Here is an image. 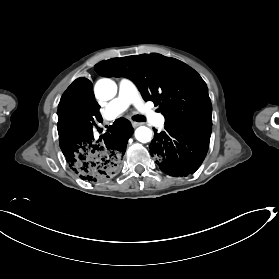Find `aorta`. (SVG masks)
Wrapping results in <instances>:
<instances>
[{
	"label": "aorta",
	"instance_id": "obj_1",
	"mask_svg": "<svg viewBox=\"0 0 279 279\" xmlns=\"http://www.w3.org/2000/svg\"><path fill=\"white\" fill-rule=\"evenodd\" d=\"M95 96L102 101L112 99L117 93V85L108 78L97 81L94 87ZM135 137L141 143H147L152 138V131L146 126H140L135 130Z\"/></svg>",
	"mask_w": 279,
	"mask_h": 279
}]
</instances>
